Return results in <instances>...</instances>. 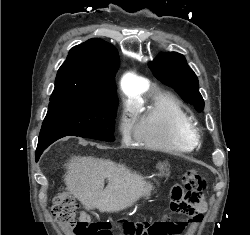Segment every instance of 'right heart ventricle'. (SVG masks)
<instances>
[{
  "label": "right heart ventricle",
  "instance_id": "1",
  "mask_svg": "<svg viewBox=\"0 0 250 235\" xmlns=\"http://www.w3.org/2000/svg\"><path fill=\"white\" fill-rule=\"evenodd\" d=\"M136 142L141 146L171 155H180L194 149L188 137L193 121L180 101L161 92L146 106H136Z\"/></svg>",
  "mask_w": 250,
  "mask_h": 235
}]
</instances>
